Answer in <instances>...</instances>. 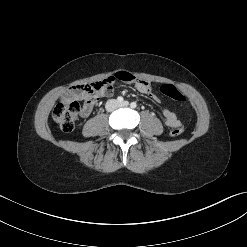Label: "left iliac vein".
<instances>
[{"label": "left iliac vein", "instance_id": "1", "mask_svg": "<svg viewBox=\"0 0 247 247\" xmlns=\"http://www.w3.org/2000/svg\"><path fill=\"white\" fill-rule=\"evenodd\" d=\"M128 105H129L128 101H124V102L121 103L119 106L126 107V106H128Z\"/></svg>", "mask_w": 247, "mask_h": 247}]
</instances>
